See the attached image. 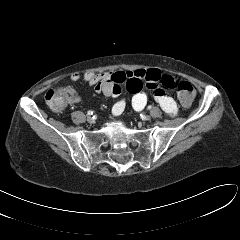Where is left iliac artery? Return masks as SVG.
I'll return each instance as SVG.
<instances>
[{
  "label": "left iliac artery",
  "mask_w": 240,
  "mask_h": 240,
  "mask_svg": "<svg viewBox=\"0 0 240 240\" xmlns=\"http://www.w3.org/2000/svg\"><path fill=\"white\" fill-rule=\"evenodd\" d=\"M152 108V106H148L147 109L150 110Z\"/></svg>",
  "instance_id": "44dca946"
}]
</instances>
